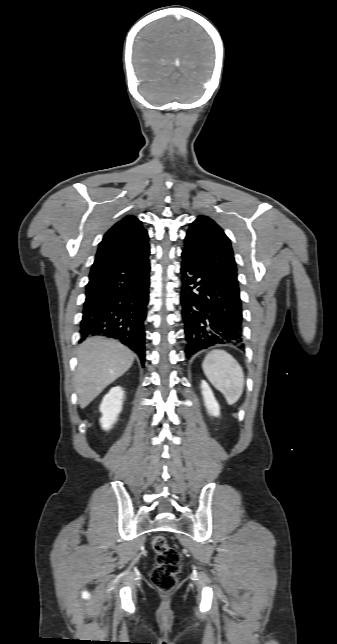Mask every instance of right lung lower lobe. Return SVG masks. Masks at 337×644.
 I'll use <instances>...</instances> for the list:
<instances>
[{
	"label": "right lung lower lobe",
	"instance_id": "obj_1",
	"mask_svg": "<svg viewBox=\"0 0 337 644\" xmlns=\"http://www.w3.org/2000/svg\"><path fill=\"white\" fill-rule=\"evenodd\" d=\"M150 263L148 256L138 263L112 268L90 279L86 287L80 333L118 339L145 360L143 329L148 303Z\"/></svg>",
	"mask_w": 337,
	"mask_h": 644
}]
</instances>
